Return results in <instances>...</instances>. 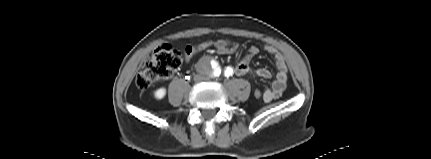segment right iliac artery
<instances>
[{"label": "right iliac artery", "instance_id": "1", "mask_svg": "<svg viewBox=\"0 0 431 159\" xmlns=\"http://www.w3.org/2000/svg\"><path fill=\"white\" fill-rule=\"evenodd\" d=\"M215 73H216L217 75H219V74L221 73V70L217 69V70L215 71Z\"/></svg>", "mask_w": 431, "mask_h": 159}]
</instances>
